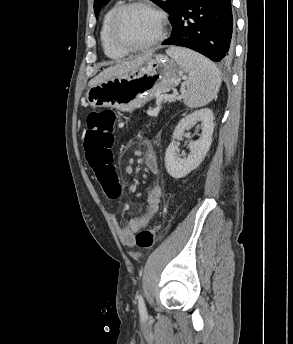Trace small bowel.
Listing matches in <instances>:
<instances>
[{
  "instance_id": "obj_1",
  "label": "small bowel",
  "mask_w": 293,
  "mask_h": 344,
  "mask_svg": "<svg viewBox=\"0 0 293 344\" xmlns=\"http://www.w3.org/2000/svg\"><path fill=\"white\" fill-rule=\"evenodd\" d=\"M143 162L146 169L157 175L159 173V165L152 147L147 143L146 150L143 153ZM112 176H115L113 165L110 168ZM130 170V169H128ZM162 195V188L158 183H155L147 193V208L145 212L137 218L130 219L127 223L122 224L118 216H113V221L122 245L132 247L135 245V233L147 227L159 210V203ZM132 257L138 258L139 254L135 252L130 253Z\"/></svg>"
}]
</instances>
